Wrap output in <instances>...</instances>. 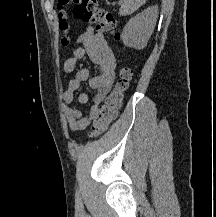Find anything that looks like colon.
Instances as JSON below:
<instances>
[{"instance_id":"1","label":"colon","mask_w":216,"mask_h":217,"mask_svg":"<svg viewBox=\"0 0 216 217\" xmlns=\"http://www.w3.org/2000/svg\"><path fill=\"white\" fill-rule=\"evenodd\" d=\"M69 6H73L72 13L75 18L93 24L99 32L113 34L116 38L119 37L114 16L110 12L101 9L97 0H58L59 27L65 34L62 38L64 46L70 43L68 36L71 30L68 13ZM131 76L130 68L122 67L119 70L114 89L100 107L98 118L92 124L90 136H98L104 133L117 118Z\"/></svg>"}]
</instances>
